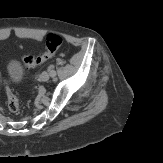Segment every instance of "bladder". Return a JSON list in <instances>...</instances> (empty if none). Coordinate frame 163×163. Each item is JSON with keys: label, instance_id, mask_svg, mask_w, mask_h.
Instances as JSON below:
<instances>
[{"label": "bladder", "instance_id": "bladder-1", "mask_svg": "<svg viewBox=\"0 0 163 163\" xmlns=\"http://www.w3.org/2000/svg\"><path fill=\"white\" fill-rule=\"evenodd\" d=\"M7 77L13 84L20 85L25 81L26 73L17 62H10L7 66Z\"/></svg>", "mask_w": 163, "mask_h": 163}]
</instances>
